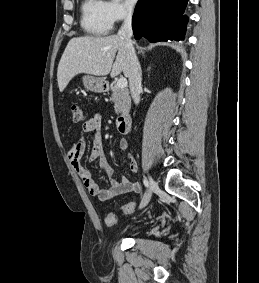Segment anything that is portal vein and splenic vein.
Listing matches in <instances>:
<instances>
[{"mask_svg":"<svg viewBox=\"0 0 259 283\" xmlns=\"http://www.w3.org/2000/svg\"><path fill=\"white\" fill-rule=\"evenodd\" d=\"M117 86L119 88H125L127 86V80L126 78H120L117 82Z\"/></svg>","mask_w":259,"mask_h":283,"instance_id":"portal-vein-and-splenic-vein-1","label":"portal vein and splenic vein"}]
</instances>
